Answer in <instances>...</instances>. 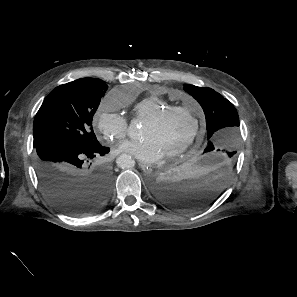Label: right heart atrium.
<instances>
[{
    "mask_svg": "<svg viewBox=\"0 0 297 297\" xmlns=\"http://www.w3.org/2000/svg\"><path fill=\"white\" fill-rule=\"evenodd\" d=\"M120 105L111 93L101 102L95 116L97 129L111 142L122 140L127 133L128 121L119 112Z\"/></svg>",
    "mask_w": 297,
    "mask_h": 297,
    "instance_id": "1",
    "label": "right heart atrium"
}]
</instances>
